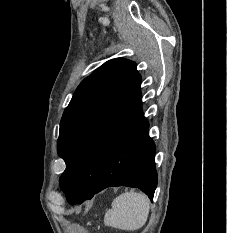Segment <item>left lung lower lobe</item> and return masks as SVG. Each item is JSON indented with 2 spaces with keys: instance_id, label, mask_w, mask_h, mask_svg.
<instances>
[{
  "instance_id": "0a47b994",
  "label": "left lung lower lobe",
  "mask_w": 227,
  "mask_h": 233,
  "mask_svg": "<svg viewBox=\"0 0 227 233\" xmlns=\"http://www.w3.org/2000/svg\"><path fill=\"white\" fill-rule=\"evenodd\" d=\"M149 123L143 116L113 150L96 187L70 204H81L107 187L127 186L141 189L152 200L157 186L156 147L148 134Z\"/></svg>"
}]
</instances>
